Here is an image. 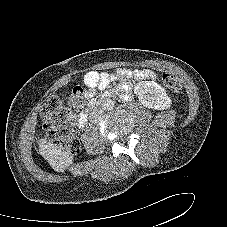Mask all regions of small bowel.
Instances as JSON below:
<instances>
[{
    "label": "small bowel",
    "instance_id": "small-bowel-1",
    "mask_svg": "<svg viewBox=\"0 0 227 227\" xmlns=\"http://www.w3.org/2000/svg\"><path fill=\"white\" fill-rule=\"evenodd\" d=\"M156 78V74L149 69H118L115 73H99L91 70L85 73L84 83L87 86L86 96L93 98L97 89L107 87L113 81H120L117 89L121 92H129L132 88L130 79L147 80Z\"/></svg>",
    "mask_w": 227,
    "mask_h": 227
}]
</instances>
